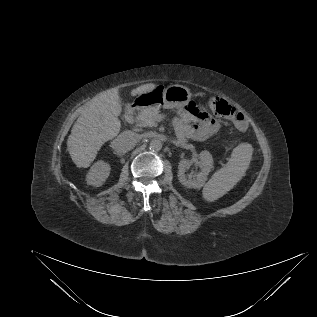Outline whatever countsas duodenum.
<instances>
[{"label":"duodenum","instance_id":"410a0bca","mask_svg":"<svg viewBox=\"0 0 317 317\" xmlns=\"http://www.w3.org/2000/svg\"><path fill=\"white\" fill-rule=\"evenodd\" d=\"M138 106H139L138 102H133L132 104H130L127 107V109L125 111V114H124L126 121H131L132 120L133 115H134L135 111L137 110Z\"/></svg>","mask_w":317,"mask_h":317}]
</instances>
